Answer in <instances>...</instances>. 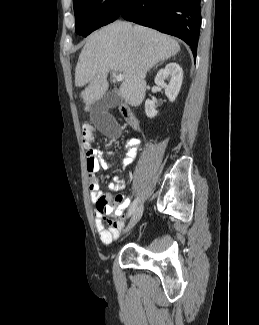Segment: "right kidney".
Masks as SVG:
<instances>
[{"mask_svg":"<svg viewBox=\"0 0 259 325\" xmlns=\"http://www.w3.org/2000/svg\"><path fill=\"white\" fill-rule=\"evenodd\" d=\"M167 79H170L169 84L165 83ZM182 80L183 70L180 65L175 62L168 63L155 77V83L165 89V95L168 97L170 102L175 101L179 94ZM145 113L149 118H154L157 115L158 111L155 109V101L150 99L146 100Z\"/></svg>","mask_w":259,"mask_h":325,"instance_id":"ca27d5eb","label":"right kidney"}]
</instances>
